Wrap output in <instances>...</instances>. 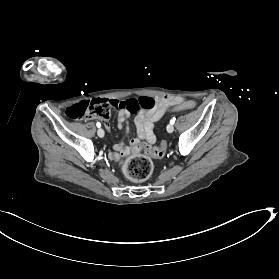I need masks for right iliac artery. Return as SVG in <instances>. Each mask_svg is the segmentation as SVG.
<instances>
[{
  "mask_svg": "<svg viewBox=\"0 0 279 279\" xmlns=\"http://www.w3.org/2000/svg\"><path fill=\"white\" fill-rule=\"evenodd\" d=\"M96 125H97V127H98V128H100V127H101V124H100L99 122H97V124H96Z\"/></svg>",
  "mask_w": 279,
  "mask_h": 279,
  "instance_id": "obj_1",
  "label": "right iliac artery"
}]
</instances>
